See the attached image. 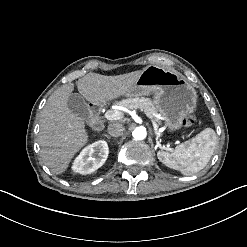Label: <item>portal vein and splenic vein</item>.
<instances>
[{"label":"portal vein and splenic vein","instance_id":"portal-vein-and-splenic-vein-1","mask_svg":"<svg viewBox=\"0 0 247 247\" xmlns=\"http://www.w3.org/2000/svg\"><path fill=\"white\" fill-rule=\"evenodd\" d=\"M120 110H123V107H122V109H119V110H113V111L109 110V111H107L105 113V118L107 120H120V119H123L124 118V114ZM156 126H157V124L155 122H153V127L155 128Z\"/></svg>","mask_w":247,"mask_h":247}]
</instances>
